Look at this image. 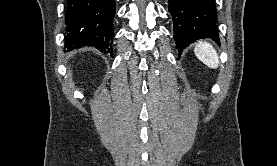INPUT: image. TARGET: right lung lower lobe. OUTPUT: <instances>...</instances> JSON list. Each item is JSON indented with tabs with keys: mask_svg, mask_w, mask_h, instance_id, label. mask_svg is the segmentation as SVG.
I'll use <instances>...</instances> for the list:
<instances>
[{
	"mask_svg": "<svg viewBox=\"0 0 277 166\" xmlns=\"http://www.w3.org/2000/svg\"><path fill=\"white\" fill-rule=\"evenodd\" d=\"M115 0H67V51L84 46H95L112 55Z\"/></svg>",
	"mask_w": 277,
	"mask_h": 166,
	"instance_id": "1",
	"label": "right lung lower lobe"
}]
</instances>
